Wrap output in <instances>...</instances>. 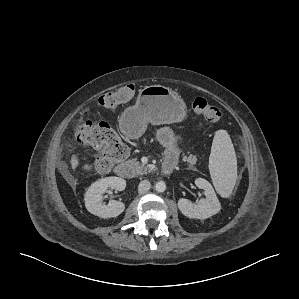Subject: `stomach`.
<instances>
[{
    "label": "stomach",
    "instance_id": "obj_1",
    "mask_svg": "<svg viewBox=\"0 0 299 299\" xmlns=\"http://www.w3.org/2000/svg\"><path fill=\"white\" fill-rule=\"evenodd\" d=\"M186 114V104L177 92L162 85H151L140 90L135 105L122 114L121 124L128 136L137 137L144 133L148 123L182 122Z\"/></svg>",
    "mask_w": 299,
    "mask_h": 299
}]
</instances>
